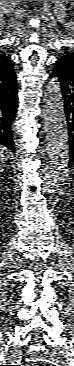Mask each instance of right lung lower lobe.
<instances>
[{
    "label": "right lung lower lobe",
    "instance_id": "obj_1",
    "mask_svg": "<svg viewBox=\"0 0 74 366\" xmlns=\"http://www.w3.org/2000/svg\"><path fill=\"white\" fill-rule=\"evenodd\" d=\"M17 93L16 75L11 82L0 84V145L6 146L12 152L16 151L12 124L17 112Z\"/></svg>",
    "mask_w": 74,
    "mask_h": 366
}]
</instances>
